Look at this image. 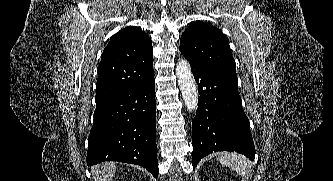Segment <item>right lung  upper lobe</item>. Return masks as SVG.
Returning a JSON list of instances; mask_svg holds the SVG:
<instances>
[{
  "label": "right lung upper lobe",
  "mask_w": 333,
  "mask_h": 181,
  "mask_svg": "<svg viewBox=\"0 0 333 181\" xmlns=\"http://www.w3.org/2000/svg\"><path fill=\"white\" fill-rule=\"evenodd\" d=\"M96 84V104L154 78L151 39L135 26L113 36L103 51Z\"/></svg>",
  "instance_id": "1"
}]
</instances>
